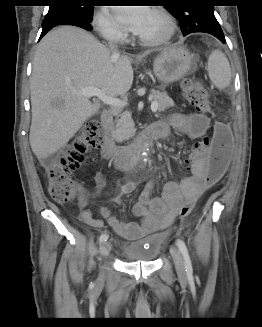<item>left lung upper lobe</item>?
Segmentation results:
<instances>
[{
    "label": "left lung upper lobe",
    "mask_w": 262,
    "mask_h": 327,
    "mask_svg": "<svg viewBox=\"0 0 262 327\" xmlns=\"http://www.w3.org/2000/svg\"><path fill=\"white\" fill-rule=\"evenodd\" d=\"M191 0H169L166 9L177 20L184 36L204 32L213 36H224L223 31L214 16V6L208 1H201L203 4H191ZM200 2V1H199Z\"/></svg>",
    "instance_id": "obj_1"
}]
</instances>
